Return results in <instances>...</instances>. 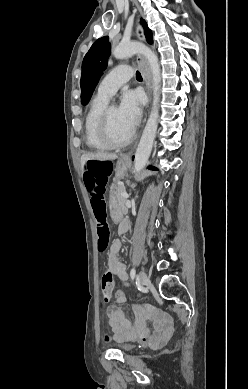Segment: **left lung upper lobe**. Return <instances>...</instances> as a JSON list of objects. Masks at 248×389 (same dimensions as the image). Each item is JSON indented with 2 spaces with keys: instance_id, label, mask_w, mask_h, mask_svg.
<instances>
[{
  "instance_id": "obj_1",
  "label": "left lung upper lobe",
  "mask_w": 248,
  "mask_h": 389,
  "mask_svg": "<svg viewBox=\"0 0 248 389\" xmlns=\"http://www.w3.org/2000/svg\"><path fill=\"white\" fill-rule=\"evenodd\" d=\"M141 24L143 25L147 42L152 44L151 30L144 20H141ZM110 51L108 36H104L96 40L85 55L81 75V101L83 105L89 102L103 71L106 69V57L110 55Z\"/></svg>"
}]
</instances>
